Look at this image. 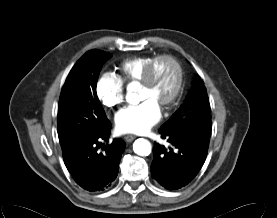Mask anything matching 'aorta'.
I'll use <instances>...</instances> for the list:
<instances>
[{
	"label": "aorta",
	"instance_id": "obj_1",
	"mask_svg": "<svg viewBox=\"0 0 277 218\" xmlns=\"http://www.w3.org/2000/svg\"><path fill=\"white\" fill-rule=\"evenodd\" d=\"M126 99L131 104H135L140 100L139 96L134 92H129ZM151 149V143L143 138L137 139L133 144V150L139 156H148L151 153Z\"/></svg>",
	"mask_w": 277,
	"mask_h": 218
}]
</instances>
